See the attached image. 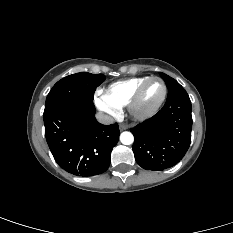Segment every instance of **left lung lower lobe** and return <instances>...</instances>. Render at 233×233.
I'll list each match as a JSON object with an SVG mask.
<instances>
[{"instance_id":"0a47b994","label":"left lung lower lobe","mask_w":233,"mask_h":233,"mask_svg":"<svg viewBox=\"0 0 233 233\" xmlns=\"http://www.w3.org/2000/svg\"><path fill=\"white\" fill-rule=\"evenodd\" d=\"M191 101L183 89L167 96L163 108L153 117L130 129L133 152L144 169L162 171L176 165L191 142Z\"/></svg>"}]
</instances>
